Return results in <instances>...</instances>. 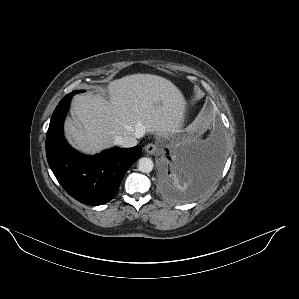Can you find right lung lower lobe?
Returning a JSON list of instances; mask_svg holds the SVG:
<instances>
[{
    "mask_svg": "<svg viewBox=\"0 0 299 299\" xmlns=\"http://www.w3.org/2000/svg\"><path fill=\"white\" fill-rule=\"evenodd\" d=\"M72 96L70 93L63 97L53 112L46 137L47 160L69 195L84 204H105L117 194L125 173L141 156L142 149L115 147L94 156L74 150L63 136Z\"/></svg>",
    "mask_w": 299,
    "mask_h": 299,
    "instance_id": "right-lung-lower-lobe-1",
    "label": "right lung lower lobe"
}]
</instances>
